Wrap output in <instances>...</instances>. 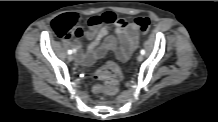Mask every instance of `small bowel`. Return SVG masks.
Instances as JSON below:
<instances>
[{"label": "small bowel", "mask_w": 218, "mask_h": 122, "mask_svg": "<svg viewBox=\"0 0 218 122\" xmlns=\"http://www.w3.org/2000/svg\"><path fill=\"white\" fill-rule=\"evenodd\" d=\"M88 26V20L82 19ZM113 26L115 36H108V26ZM85 36L90 40L85 52L78 41L71 43L81 64L92 65L97 59L113 51L120 61H126L137 48L139 32L135 23L118 18L116 12L91 16Z\"/></svg>", "instance_id": "small-bowel-1"}]
</instances>
